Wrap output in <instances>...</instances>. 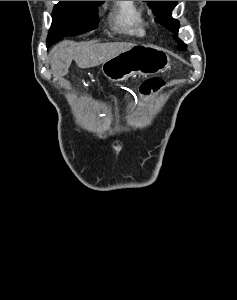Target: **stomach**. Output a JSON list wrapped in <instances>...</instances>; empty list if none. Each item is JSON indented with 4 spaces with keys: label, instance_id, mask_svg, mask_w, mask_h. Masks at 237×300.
<instances>
[{
    "label": "stomach",
    "instance_id": "0dacf381",
    "mask_svg": "<svg viewBox=\"0 0 237 300\" xmlns=\"http://www.w3.org/2000/svg\"><path fill=\"white\" fill-rule=\"evenodd\" d=\"M169 65V57L160 47L137 45L105 61L101 71L110 81H127L133 75H156Z\"/></svg>",
    "mask_w": 237,
    "mask_h": 300
}]
</instances>
